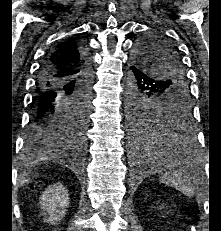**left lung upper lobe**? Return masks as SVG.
Masks as SVG:
<instances>
[{"label":"left lung upper lobe","instance_id":"1","mask_svg":"<svg viewBox=\"0 0 221 231\" xmlns=\"http://www.w3.org/2000/svg\"><path fill=\"white\" fill-rule=\"evenodd\" d=\"M136 64L164 86L148 95L138 115L130 117L131 130L138 137H154L162 128L190 118V90L177 47L160 32H150L138 39Z\"/></svg>","mask_w":221,"mask_h":231}]
</instances>
